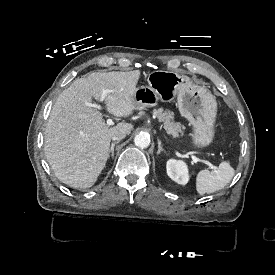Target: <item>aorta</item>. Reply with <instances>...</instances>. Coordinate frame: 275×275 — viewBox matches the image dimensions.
Wrapping results in <instances>:
<instances>
[{"label":"aorta","mask_w":275,"mask_h":275,"mask_svg":"<svg viewBox=\"0 0 275 275\" xmlns=\"http://www.w3.org/2000/svg\"><path fill=\"white\" fill-rule=\"evenodd\" d=\"M134 143L139 148H147L150 145V137L147 134H138L134 137Z\"/></svg>","instance_id":"aorta-1"}]
</instances>
